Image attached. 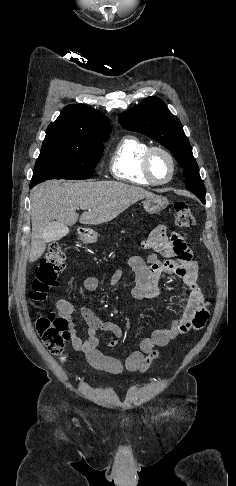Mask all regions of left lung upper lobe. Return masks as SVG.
<instances>
[{
  "label": "left lung upper lobe",
  "mask_w": 236,
  "mask_h": 486,
  "mask_svg": "<svg viewBox=\"0 0 236 486\" xmlns=\"http://www.w3.org/2000/svg\"><path fill=\"white\" fill-rule=\"evenodd\" d=\"M119 123L130 131L145 133L169 149L184 169L187 189L205 204V187L191 145L180 120L169 111L164 101L158 97H148L121 114Z\"/></svg>",
  "instance_id": "1"
}]
</instances>
